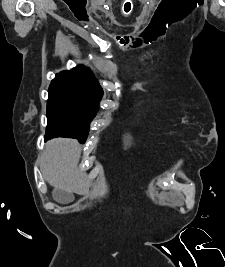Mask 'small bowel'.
I'll return each instance as SVG.
<instances>
[{"instance_id":"c3829d8e","label":"small bowel","mask_w":225,"mask_h":267,"mask_svg":"<svg viewBox=\"0 0 225 267\" xmlns=\"http://www.w3.org/2000/svg\"><path fill=\"white\" fill-rule=\"evenodd\" d=\"M166 198L169 200V201H172V202H175V203H181V198L177 195H174V194H169L166 196Z\"/></svg>"}]
</instances>
